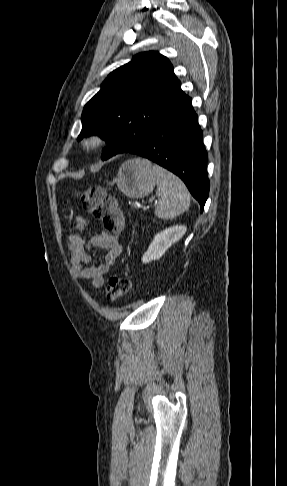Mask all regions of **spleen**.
Returning <instances> with one entry per match:
<instances>
[{"instance_id": "spleen-1", "label": "spleen", "mask_w": 287, "mask_h": 486, "mask_svg": "<svg viewBox=\"0 0 287 486\" xmlns=\"http://www.w3.org/2000/svg\"><path fill=\"white\" fill-rule=\"evenodd\" d=\"M157 174V191L159 197L155 215L163 220H169L185 212L190 206V194L187 187L173 173L155 165Z\"/></svg>"}]
</instances>
